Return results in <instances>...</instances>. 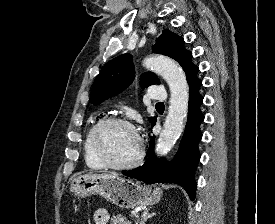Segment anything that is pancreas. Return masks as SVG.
Wrapping results in <instances>:
<instances>
[{"mask_svg":"<svg viewBox=\"0 0 275 224\" xmlns=\"http://www.w3.org/2000/svg\"><path fill=\"white\" fill-rule=\"evenodd\" d=\"M111 224H130V222L125 217L116 215L112 217Z\"/></svg>","mask_w":275,"mask_h":224,"instance_id":"cf45deb5","label":"pancreas"}]
</instances>
